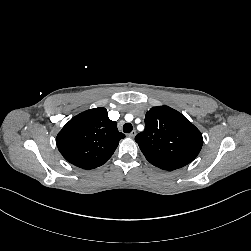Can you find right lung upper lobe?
I'll return each instance as SVG.
<instances>
[{
	"label": "right lung upper lobe",
	"mask_w": 251,
	"mask_h": 251,
	"mask_svg": "<svg viewBox=\"0 0 251 251\" xmlns=\"http://www.w3.org/2000/svg\"><path fill=\"white\" fill-rule=\"evenodd\" d=\"M125 135L108 118L103 107L84 111L73 117L58 133L56 144L71 164L94 169L109 160Z\"/></svg>",
	"instance_id": "1"
}]
</instances>
